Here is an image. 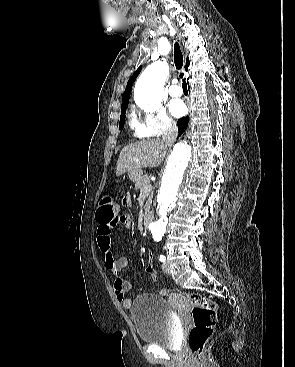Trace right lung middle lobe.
<instances>
[{
  "instance_id": "1",
  "label": "right lung middle lobe",
  "mask_w": 295,
  "mask_h": 367,
  "mask_svg": "<svg viewBox=\"0 0 295 367\" xmlns=\"http://www.w3.org/2000/svg\"><path fill=\"white\" fill-rule=\"evenodd\" d=\"M128 103L122 105L121 108V116H120V122H119V129L122 130L124 127V122H125V113H126V109H127Z\"/></svg>"
}]
</instances>
